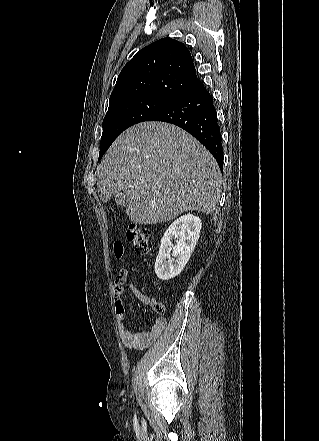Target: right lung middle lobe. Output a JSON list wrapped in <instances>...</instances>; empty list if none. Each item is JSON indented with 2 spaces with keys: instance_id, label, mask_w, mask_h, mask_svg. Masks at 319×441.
I'll list each match as a JSON object with an SVG mask.
<instances>
[{
  "instance_id": "1",
  "label": "right lung middle lobe",
  "mask_w": 319,
  "mask_h": 441,
  "mask_svg": "<svg viewBox=\"0 0 319 441\" xmlns=\"http://www.w3.org/2000/svg\"><path fill=\"white\" fill-rule=\"evenodd\" d=\"M171 100L144 96L127 100L109 107L103 120V133L100 142L99 159L113 141L128 127L148 121L153 115L166 107Z\"/></svg>"
}]
</instances>
